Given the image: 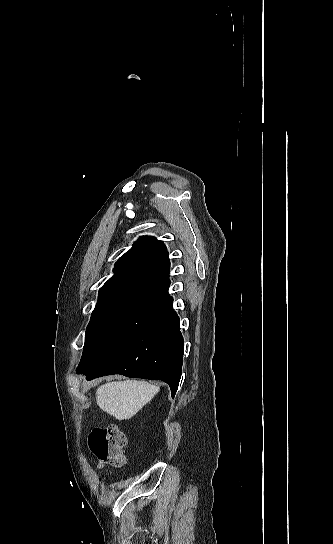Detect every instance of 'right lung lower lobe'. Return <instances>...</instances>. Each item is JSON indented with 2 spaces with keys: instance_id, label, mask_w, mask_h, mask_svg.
Returning a JSON list of instances; mask_svg holds the SVG:
<instances>
[{
  "instance_id": "1",
  "label": "right lung lower lobe",
  "mask_w": 333,
  "mask_h": 544,
  "mask_svg": "<svg viewBox=\"0 0 333 544\" xmlns=\"http://www.w3.org/2000/svg\"><path fill=\"white\" fill-rule=\"evenodd\" d=\"M183 350L179 317L171 303L138 336L114 350L107 358L78 367L77 373L86 375L88 380L112 374L162 380L169 384L171 396L174 397L182 374Z\"/></svg>"
}]
</instances>
